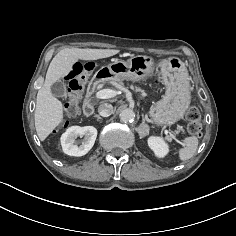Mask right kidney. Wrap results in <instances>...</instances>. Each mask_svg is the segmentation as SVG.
I'll return each instance as SVG.
<instances>
[{"instance_id":"obj_1","label":"right kidney","mask_w":236,"mask_h":236,"mask_svg":"<svg viewBox=\"0 0 236 236\" xmlns=\"http://www.w3.org/2000/svg\"><path fill=\"white\" fill-rule=\"evenodd\" d=\"M83 139L79 142L76 138ZM97 137V129L93 126H72L61 136L63 152L70 156H83L93 147Z\"/></svg>"}]
</instances>
